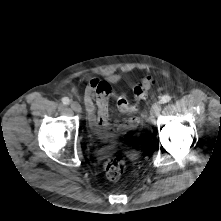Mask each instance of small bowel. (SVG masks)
Masks as SVG:
<instances>
[{"label": "small bowel", "instance_id": "1", "mask_svg": "<svg viewBox=\"0 0 221 221\" xmlns=\"http://www.w3.org/2000/svg\"><path fill=\"white\" fill-rule=\"evenodd\" d=\"M112 96L113 90L109 84L99 80H91L84 91V104L90 127L103 140L113 139L119 132L132 130L138 121L132 109L118 102V108L125 117L122 121L113 123L110 118Z\"/></svg>", "mask_w": 221, "mask_h": 221}]
</instances>
